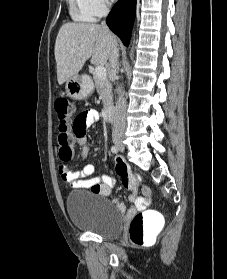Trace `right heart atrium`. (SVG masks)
<instances>
[{
	"mask_svg": "<svg viewBox=\"0 0 227 279\" xmlns=\"http://www.w3.org/2000/svg\"><path fill=\"white\" fill-rule=\"evenodd\" d=\"M87 7L95 17L105 14L111 0H85Z\"/></svg>",
	"mask_w": 227,
	"mask_h": 279,
	"instance_id": "obj_1",
	"label": "right heart atrium"
}]
</instances>
